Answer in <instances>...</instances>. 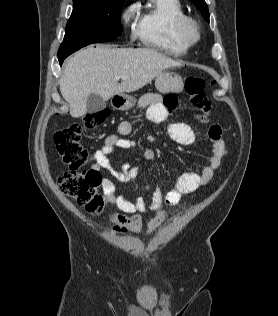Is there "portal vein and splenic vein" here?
Masks as SVG:
<instances>
[{"label":"portal vein and splenic vein","instance_id":"1","mask_svg":"<svg viewBox=\"0 0 278 316\" xmlns=\"http://www.w3.org/2000/svg\"><path fill=\"white\" fill-rule=\"evenodd\" d=\"M127 78H128V77H127V76H124V75L117 77V79H127Z\"/></svg>","mask_w":278,"mask_h":316}]
</instances>
